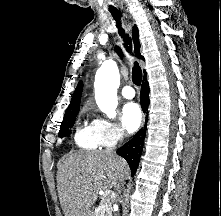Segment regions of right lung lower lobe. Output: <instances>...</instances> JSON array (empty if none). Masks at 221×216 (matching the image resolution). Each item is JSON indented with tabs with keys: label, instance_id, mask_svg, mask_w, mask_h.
<instances>
[{
	"label": "right lung lower lobe",
	"instance_id": "obj_1",
	"mask_svg": "<svg viewBox=\"0 0 221 216\" xmlns=\"http://www.w3.org/2000/svg\"><path fill=\"white\" fill-rule=\"evenodd\" d=\"M149 88H148V82L146 79V76L144 77V82L141 87V93H140V102L142 109L146 111L148 105H149ZM146 122L144 129H141L129 142L124 144L121 148L117 150V154L128 162L131 174L132 176L135 174L139 160L142 154L143 144H144V138H145V132H146Z\"/></svg>",
	"mask_w": 221,
	"mask_h": 216
}]
</instances>
